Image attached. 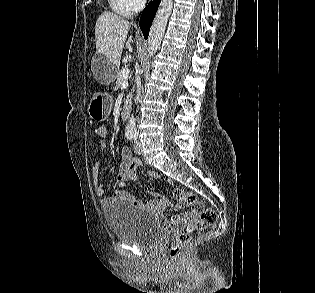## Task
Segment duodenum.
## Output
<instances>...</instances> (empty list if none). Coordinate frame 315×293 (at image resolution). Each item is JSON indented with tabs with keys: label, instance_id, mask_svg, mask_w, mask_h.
Wrapping results in <instances>:
<instances>
[{
	"label": "duodenum",
	"instance_id": "1",
	"mask_svg": "<svg viewBox=\"0 0 315 293\" xmlns=\"http://www.w3.org/2000/svg\"><path fill=\"white\" fill-rule=\"evenodd\" d=\"M131 104L129 101H124L121 107V116L123 119H128L130 115Z\"/></svg>",
	"mask_w": 315,
	"mask_h": 293
}]
</instances>
